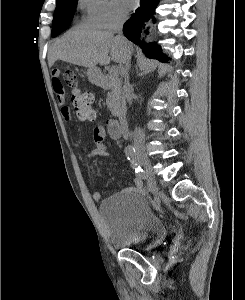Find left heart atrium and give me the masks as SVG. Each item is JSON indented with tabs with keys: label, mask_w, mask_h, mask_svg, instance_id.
<instances>
[{
	"label": "left heart atrium",
	"mask_w": 245,
	"mask_h": 300,
	"mask_svg": "<svg viewBox=\"0 0 245 300\" xmlns=\"http://www.w3.org/2000/svg\"><path fill=\"white\" fill-rule=\"evenodd\" d=\"M121 1L127 8H130V9L135 8L138 3V0H121Z\"/></svg>",
	"instance_id": "left-heart-atrium-1"
}]
</instances>
